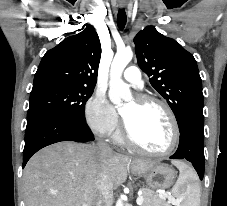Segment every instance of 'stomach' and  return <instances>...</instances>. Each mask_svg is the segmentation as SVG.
Here are the masks:
<instances>
[{"instance_id": "1", "label": "stomach", "mask_w": 227, "mask_h": 206, "mask_svg": "<svg viewBox=\"0 0 227 206\" xmlns=\"http://www.w3.org/2000/svg\"><path fill=\"white\" fill-rule=\"evenodd\" d=\"M144 177L149 187L167 189L174 184L176 171L171 166L158 162L144 174Z\"/></svg>"}]
</instances>
